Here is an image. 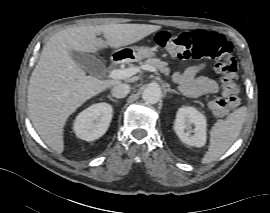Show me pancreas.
<instances>
[{
  "label": "pancreas",
  "instance_id": "1",
  "mask_svg": "<svg viewBox=\"0 0 270 213\" xmlns=\"http://www.w3.org/2000/svg\"><path fill=\"white\" fill-rule=\"evenodd\" d=\"M146 65H151L155 68H157L160 72H162L165 75L170 74V68L167 67V63L161 61L160 59L150 57L144 62Z\"/></svg>",
  "mask_w": 270,
  "mask_h": 213
}]
</instances>
